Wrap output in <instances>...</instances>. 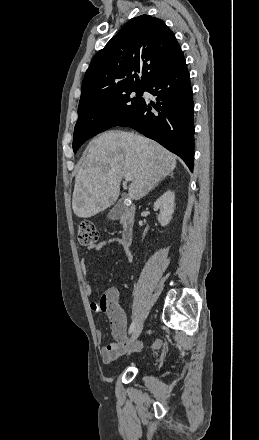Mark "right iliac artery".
I'll return each mask as SVG.
<instances>
[{
	"instance_id": "obj_1",
	"label": "right iliac artery",
	"mask_w": 259,
	"mask_h": 440,
	"mask_svg": "<svg viewBox=\"0 0 259 440\" xmlns=\"http://www.w3.org/2000/svg\"><path fill=\"white\" fill-rule=\"evenodd\" d=\"M136 321L134 320L129 327V334H131L135 328Z\"/></svg>"
}]
</instances>
